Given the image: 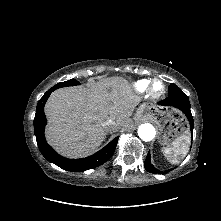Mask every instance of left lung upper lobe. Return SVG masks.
Masks as SVG:
<instances>
[{
  "mask_svg": "<svg viewBox=\"0 0 221 221\" xmlns=\"http://www.w3.org/2000/svg\"><path fill=\"white\" fill-rule=\"evenodd\" d=\"M178 93H183V92L178 86L171 83L169 86V95L178 94Z\"/></svg>",
  "mask_w": 221,
  "mask_h": 221,
  "instance_id": "obj_1",
  "label": "left lung upper lobe"
}]
</instances>
